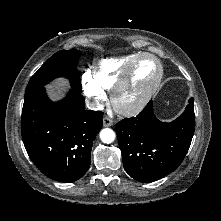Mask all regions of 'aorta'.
Wrapping results in <instances>:
<instances>
[{
	"label": "aorta",
	"mask_w": 221,
	"mask_h": 221,
	"mask_svg": "<svg viewBox=\"0 0 221 221\" xmlns=\"http://www.w3.org/2000/svg\"><path fill=\"white\" fill-rule=\"evenodd\" d=\"M100 139L103 143L110 144L115 140V133L110 128L102 129L100 132Z\"/></svg>",
	"instance_id": "762f6f07"
}]
</instances>
